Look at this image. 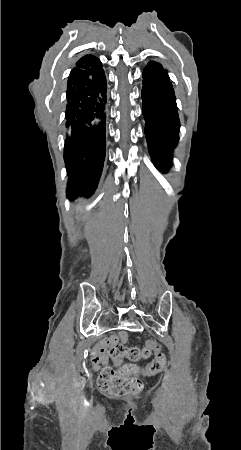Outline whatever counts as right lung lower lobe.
<instances>
[{"label":"right lung lower lobe","instance_id":"98d812e1","mask_svg":"<svg viewBox=\"0 0 241 450\" xmlns=\"http://www.w3.org/2000/svg\"><path fill=\"white\" fill-rule=\"evenodd\" d=\"M107 84L102 63L74 67L66 91L64 160L68 174L67 196H91L105 160Z\"/></svg>","mask_w":241,"mask_h":450}]
</instances>
